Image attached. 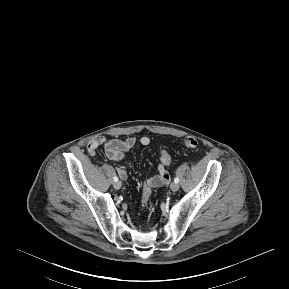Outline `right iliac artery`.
<instances>
[{"mask_svg":"<svg viewBox=\"0 0 289 289\" xmlns=\"http://www.w3.org/2000/svg\"><path fill=\"white\" fill-rule=\"evenodd\" d=\"M113 180H114L115 182H117V181H118V177L115 176V177L113 178Z\"/></svg>","mask_w":289,"mask_h":289,"instance_id":"obj_1","label":"right iliac artery"}]
</instances>
